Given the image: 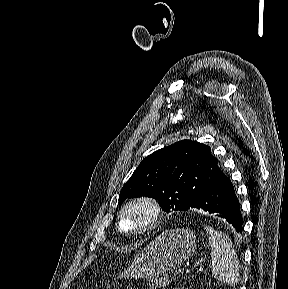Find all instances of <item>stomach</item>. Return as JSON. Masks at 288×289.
I'll list each match as a JSON object with an SVG mask.
<instances>
[{
    "label": "stomach",
    "instance_id": "0dacf381",
    "mask_svg": "<svg viewBox=\"0 0 288 289\" xmlns=\"http://www.w3.org/2000/svg\"><path fill=\"white\" fill-rule=\"evenodd\" d=\"M195 249L196 236L193 232L184 228L166 230L142 249L132 264L117 278L157 277L189 259Z\"/></svg>",
    "mask_w": 288,
    "mask_h": 289
}]
</instances>
